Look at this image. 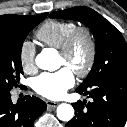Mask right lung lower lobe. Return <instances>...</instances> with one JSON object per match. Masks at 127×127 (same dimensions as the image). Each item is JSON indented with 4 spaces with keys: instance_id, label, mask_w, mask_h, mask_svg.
Segmentation results:
<instances>
[{
    "instance_id": "obj_1",
    "label": "right lung lower lobe",
    "mask_w": 127,
    "mask_h": 127,
    "mask_svg": "<svg viewBox=\"0 0 127 127\" xmlns=\"http://www.w3.org/2000/svg\"><path fill=\"white\" fill-rule=\"evenodd\" d=\"M46 107V103L35 96L27 95L13 104L10 92L0 93V127H34V121Z\"/></svg>"
}]
</instances>
